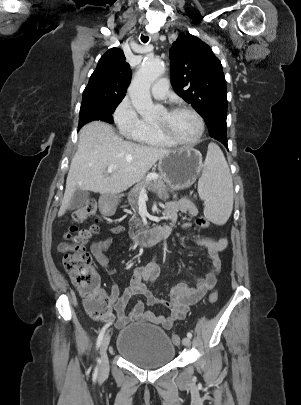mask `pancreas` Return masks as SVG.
I'll list each match as a JSON object with an SVG mask.
<instances>
[{"label":"pancreas","instance_id":"obj_1","mask_svg":"<svg viewBox=\"0 0 301 405\" xmlns=\"http://www.w3.org/2000/svg\"><path fill=\"white\" fill-rule=\"evenodd\" d=\"M145 188L148 191L155 192L160 198L164 200L169 198V194L167 192V186L163 179L160 178H146L141 180L138 184H136L128 194V202L134 212L137 211L138 199L141 193V189ZM130 226V235H135L141 233L144 228L140 218L133 217L132 221L129 224Z\"/></svg>","mask_w":301,"mask_h":405}]
</instances>
